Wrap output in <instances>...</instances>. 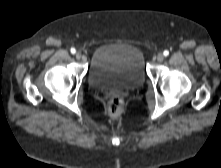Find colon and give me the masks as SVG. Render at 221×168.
Returning <instances> with one entry per match:
<instances>
[{
    "label": "colon",
    "mask_w": 221,
    "mask_h": 168,
    "mask_svg": "<svg viewBox=\"0 0 221 168\" xmlns=\"http://www.w3.org/2000/svg\"><path fill=\"white\" fill-rule=\"evenodd\" d=\"M108 110L111 115L117 116L123 110V99L122 97L115 95L109 100Z\"/></svg>",
    "instance_id": "1"
}]
</instances>
